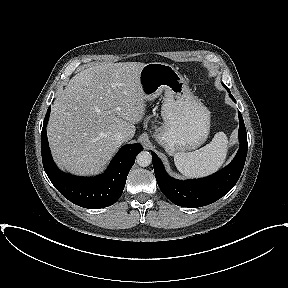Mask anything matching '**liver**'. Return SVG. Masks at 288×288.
Returning <instances> with one entry per match:
<instances>
[{"label":"liver","mask_w":288,"mask_h":288,"mask_svg":"<svg viewBox=\"0 0 288 288\" xmlns=\"http://www.w3.org/2000/svg\"><path fill=\"white\" fill-rule=\"evenodd\" d=\"M141 62H119L82 70L56 97L47 127L57 165L71 173L89 175L112 158L122 142L133 138L146 110L139 82ZM124 141V142H125Z\"/></svg>","instance_id":"liver-1"}]
</instances>
